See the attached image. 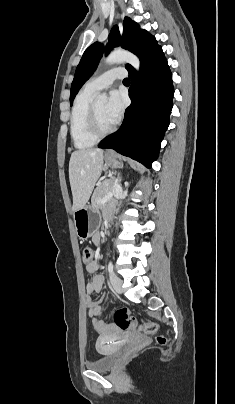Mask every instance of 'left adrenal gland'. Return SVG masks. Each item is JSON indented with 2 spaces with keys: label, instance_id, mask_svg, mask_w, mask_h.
Instances as JSON below:
<instances>
[{
  "label": "left adrenal gland",
  "instance_id": "1",
  "mask_svg": "<svg viewBox=\"0 0 235 404\" xmlns=\"http://www.w3.org/2000/svg\"><path fill=\"white\" fill-rule=\"evenodd\" d=\"M118 178H119V182H120L121 181L120 174L118 175Z\"/></svg>",
  "mask_w": 235,
  "mask_h": 404
}]
</instances>
